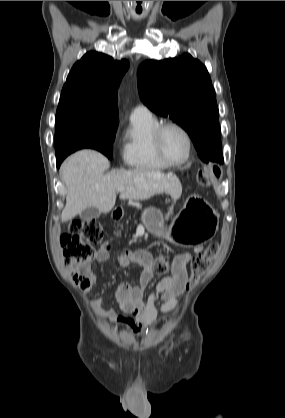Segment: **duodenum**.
<instances>
[{"instance_id":"410a0bca","label":"duodenum","mask_w":285,"mask_h":418,"mask_svg":"<svg viewBox=\"0 0 285 418\" xmlns=\"http://www.w3.org/2000/svg\"><path fill=\"white\" fill-rule=\"evenodd\" d=\"M112 215H113L114 220L116 221L121 220L123 217V213L121 212L120 209H117V208L113 209Z\"/></svg>"}]
</instances>
